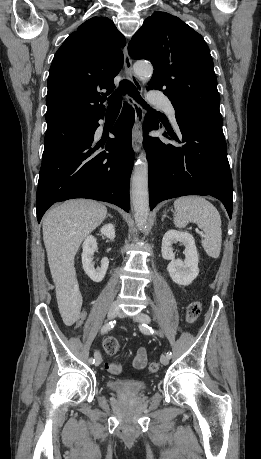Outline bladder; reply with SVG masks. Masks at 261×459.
<instances>
[{
    "label": "bladder",
    "instance_id": "31cf9c89",
    "mask_svg": "<svg viewBox=\"0 0 261 459\" xmlns=\"http://www.w3.org/2000/svg\"><path fill=\"white\" fill-rule=\"evenodd\" d=\"M107 386L113 392L122 395H136L147 390L146 384L137 379H110Z\"/></svg>",
    "mask_w": 261,
    "mask_h": 459
}]
</instances>
